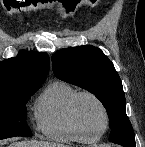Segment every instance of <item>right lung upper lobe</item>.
<instances>
[{"instance_id":"right-lung-upper-lobe-1","label":"right lung upper lobe","mask_w":145,"mask_h":147,"mask_svg":"<svg viewBox=\"0 0 145 147\" xmlns=\"http://www.w3.org/2000/svg\"><path fill=\"white\" fill-rule=\"evenodd\" d=\"M49 67V56L46 53L20 51L16 57L0 62V92L41 86Z\"/></svg>"}]
</instances>
